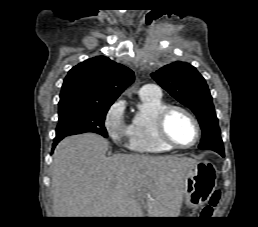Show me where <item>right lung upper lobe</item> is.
Here are the masks:
<instances>
[{
  "label": "right lung upper lobe",
  "mask_w": 258,
  "mask_h": 227,
  "mask_svg": "<svg viewBox=\"0 0 258 227\" xmlns=\"http://www.w3.org/2000/svg\"><path fill=\"white\" fill-rule=\"evenodd\" d=\"M134 82V73L105 56L95 57L73 67L66 76L60 98L112 104Z\"/></svg>",
  "instance_id": "right-lung-upper-lobe-1"
}]
</instances>
